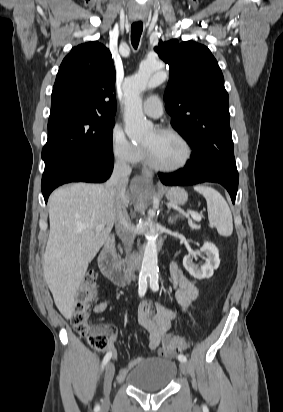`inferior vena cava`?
Returning <instances> with one entry per match:
<instances>
[{"mask_svg": "<svg viewBox=\"0 0 283 412\" xmlns=\"http://www.w3.org/2000/svg\"><path fill=\"white\" fill-rule=\"evenodd\" d=\"M130 173L131 167L129 164L124 160L118 159L114 164L112 175L108 181V185L116 189L114 208L116 215L115 229L128 255L132 250L135 233L123 201V185L128 181Z\"/></svg>", "mask_w": 283, "mask_h": 412, "instance_id": "602c4592", "label": "inferior vena cava"}]
</instances>
